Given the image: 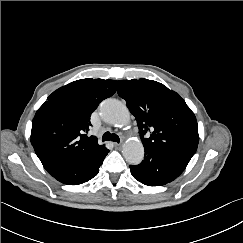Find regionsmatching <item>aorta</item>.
Returning <instances> with one entry per match:
<instances>
[{"instance_id":"1","label":"aorta","mask_w":243,"mask_h":243,"mask_svg":"<svg viewBox=\"0 0 243 243\" xmlns=\"http://www.w3.org/2000/svg\"><path fill=\"white\" fill-rule=\"evenodd\" d=\"M100 112L103 120L115 127H124L130 122V112L119 100H104L101 103ZM122 153L129 164L138 165L143 160L144 147L138 139H128L123 144Z\"/></svg>"}]
</instances>
